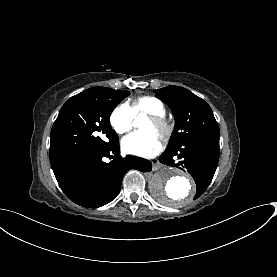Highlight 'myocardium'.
Listing matches in <instances>:
<instances>
[{
  "label": "myocardium",
  "instance_id": "obj_1",
  "mask_svg": "<svg viewBox=\"0 0 277 277\" xmlns=\"http://www.w3.org/2000/svg\"><path fill=\"white\" fill-rule=\"evenodd\" d=\"M149 118L157 125L159 128L158 136L162 139H165L171 135L172 127L165 116L160 114L149 115Z\"/></svg>",
  "mask_w": 277,
  "mask_h": 277
}]
</instances>
